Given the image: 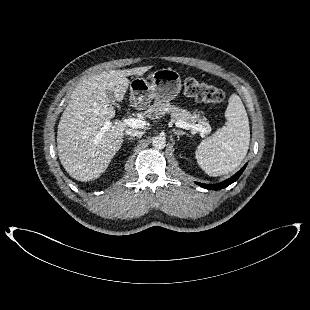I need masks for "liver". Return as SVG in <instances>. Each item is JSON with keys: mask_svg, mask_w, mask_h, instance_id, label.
I'll use <instances>...</instances> for the list:
<instances>
[{"mask_svg": "<svg viewBox=\"0 0 310 310\" xmlns=\"http://www.w3.org/2000/svg\"><path fill=\"white\" fill-rule=\"evenodd\" d=\"M150 67L110 70L83 80L71 94L58 125L57 150L69 175L79 181H91L105 172L123 143L126 124L110 121L115 109L107 96L114 93L118 101L124 98L127 76H142ZM106 122L111 126L102 130Z\"/></svg>", "mask_w": 310, "mask_h": 310, "instance_id": "liver-1", "label": "liver"}]
</instances>
